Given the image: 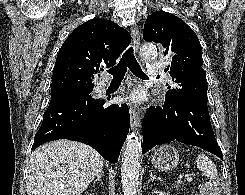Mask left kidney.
Returning <instances> with one entry per match:
<instances>
[{
  "instance_id": "obj_1",
  "label": "left kidney",
  "mask_w": 245,
  "mask_h": 195,
  "mask_svg": "<svg viewBox=\"0 0 245 195\" xmlns=\"http://www.w3.org/2000/svg\"><path fill=\"white\" fill-rule=\"evenodd\" d=\"M158 195H169V193L161 192V191H155Z\"/></svg>"
}]
</instances>
